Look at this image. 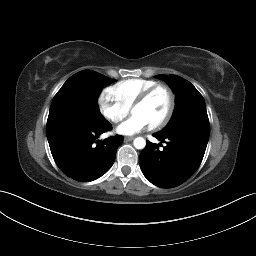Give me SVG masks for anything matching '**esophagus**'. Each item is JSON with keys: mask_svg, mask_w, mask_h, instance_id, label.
Wrapping results in <instances>:
<instances>
[{"mask_svg": "<svg viewBox=\"0 0 256 256\" xmlns=\"http://www.w3.org/2000/svg\"><path fill=\"white\" fill-rule=\"evenodd\" d=\"M134 139V136H126L124 137V141H132Z\"/></svg>", "mask_w": 256, "mask_h": 256, "instance_id": "1", "label": "esophagus"}]
</instances>
